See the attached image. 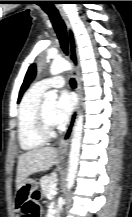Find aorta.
I'll return each instance as SVG.
<instances>
[{
    "mask_svg": "<svg viewBox=\"0 0 132 217\" xmlns=\"http://www.w3.org/2000/svg\"><path fill=\"white\" fill-rule=\"evenodd\" d=\"M72 66L69 62L62 59H55L50 67L51 75H57L64 71L71 70ZM57 92L50 90L44 94V101L46 104H55L57 100ZM83 114L80 113L76 119L73 129V136L71 141V148L69 153V168H68V180L72 182L77 173V166L80 154V145L82 139L83 130Z\"/></svg>",
    "mask_w": 132,
    "mask_h": 217,
    "instance_id": "obj_1",
    "label": "aorta"
}]
</instances>
